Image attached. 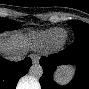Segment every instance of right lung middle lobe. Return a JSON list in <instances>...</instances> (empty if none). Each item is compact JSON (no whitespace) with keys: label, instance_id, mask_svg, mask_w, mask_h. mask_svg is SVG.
I'll return each mask as SVG.
<instances>
[{"label":"right lung middle lobe","instance_id":"obj_1","mask_svg":"<svg viewBox=\"0 0 89 89\" xmlns=\"http://www.w3.org/2000/svg\"><path fill=\"white\" fill-rule=\"evenodd\" d=\"M18 28H20V24L15 21L5 19L0 20V32H2L3 30H13Z\"/></svg>","mask_w":89,"mask_h":89}]
</instances>
